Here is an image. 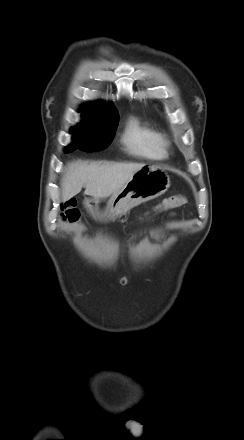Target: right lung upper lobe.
Instances as JSON below:
<instances>
[{
  "label": "right lung upper lobe",
  "mask_w": 244,
  "mask_h": 440,
  "mask_svg": "<svg viewBox=\"0 0 244 440\" xmlns=\"http://www.w3.org/2000/svg\"><path fill=\"white\" fill-rule=\"evenodd\" d=\"M83 114L82 123L94 126H110L119 121L118 111L113 105L88 104Z\"/></svg>",
  "instance_id": "right-lung-upper-lobe-1"
}]
</instances>
